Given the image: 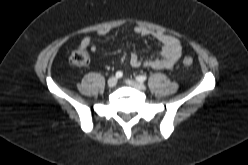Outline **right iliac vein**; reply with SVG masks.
I'll use <instances>...</instances> for the list:
<instances>
[{
  "instance_id": "1",
  "label": "right iliac vein",
  "mask_w": 248,
  "mask_h": 165,
  "mask_svg": "<svg viewBox=\"0 0 248 165\" xmlns=\"http://www.w3.org/2000/svg\"><path fill=\"white\" fill-rule=\"evenodd\" d=\"M107 84H108V86H109L110 88L115 87L116 84H117V78H116V77H110V78L108 79Z\"/></svg>"
}]
</instances>
